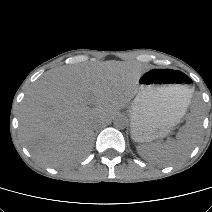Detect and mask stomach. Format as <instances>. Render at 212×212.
I'll use <instances>...</instances> for the list:
<instances>
[{
	"label": "stomach",
	"mask_w": 212,
	"mask_h": 212,
	"mask_svg": "<svg viewBox=\"0 0 212 212\" xmlns=\"http://www.w3.org/2000/svg\"><path fill=\"white\" fill-rule=\"evenodd\" d=\"M193 94L190 79L172 69L146 70L137 80L130 109L131 135L136 142L165 137L184 116Z\"/></svg>",
	"instance_id": "0dacf381"
}]
</instances>
